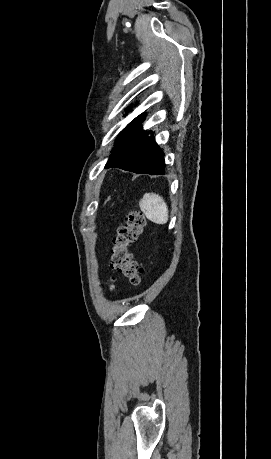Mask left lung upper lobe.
I'll return each instance as SVG.
<instances>
[{
  "label": "left lung upper lobe",
  "mask_w": 271,
  "mask_h": 459,
  "mask_svg": "<svg viewBox=\"0 0 271 459\" xmlns=\"http://www.w3.org/2000/svg\"><path fill=\"white\" fill-rule=\"evenodd\" d=\"M128 111H130V110L128 109L127 112ZM143 116H144V114H141V115L137 116L136 118L143 117Z\"/></svg>",
  "instance_id": "obj_1"
}]
</instances>
